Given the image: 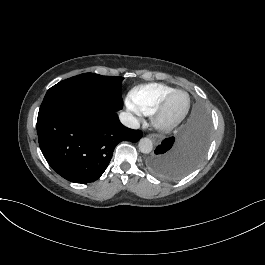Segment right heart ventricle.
<instances>
[{"instance_id": "1", "label": "right heart ventricle", "mask_w": 265, "mask_h": 265, "mask_svg": "<svg viewBox=\"0 0 265 265\" xmlns=\"http://www.w3.org/2000/svg\"><path fill=\"white\" fill-rule=\"evenodd\" d=\"M174 90L158 84L137 88L132 93V105L138 113L152 116L163 100Z\"/></svg>"}]
</instances>
